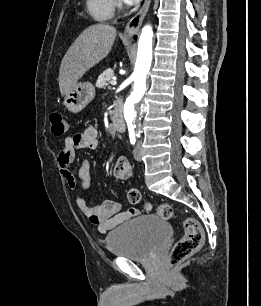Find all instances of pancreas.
<instances>
[{
  "label": "pancreas",
  "instance_id": "cf45deb5",
  "mask_svg": "<svg viewBox=\"0 0 261 306\" xmlns=\"http://www.w3.org/2000/svg\"><path fill=\"white\" fill-rule=\"evenodd\" d=\"M114 76L113 69H106L97 79L96 86L98 88H106Z\"/></svg>",
  "mask_w": 261,
  "mask_h": 306
}]
</instances>
